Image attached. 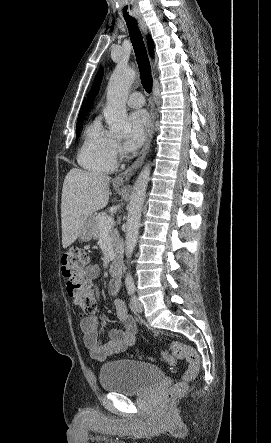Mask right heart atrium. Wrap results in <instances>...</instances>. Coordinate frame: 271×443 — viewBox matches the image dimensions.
Segmentation results:
<instances>
[{
    "label": "right heart atrium",
    "instance_id": "right-heart-atrium-1",
    "mask_svg": "<svg viewBox=\"0 0 271 443\" xmlns=\"http://www.w3.org/2000/svg\"><path fill=\"white\" fill-rule=\"evenodd\" d=\"M114 151H115L116 155H117V154H120V153L122 152L121 143H120V141H118V140H115V143H114Z\"/></svg>",
    "mask_w": 271,
    "mask_h": 443
}]
</instances>
